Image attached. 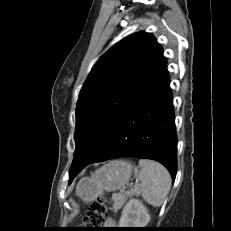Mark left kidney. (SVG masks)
I'll list each match as a JSON object with an SVG mask.
<instances>
[{
	"instance_id": "5707ae66",
	"label": "left kidney",
	"mask_w": 231,
	"mask_h": 231,
	"mask_svg": "<svg viewBox=\"0 0 231 231\" xmlns=\"http://www.w3.org/2000/svg\"><path fill=\"white\" fill-rule=\"evenodd\" d=\"M150 221L147 208L138 199H130L122 210L120 228H144Z\"/></svg>"
}]
</instances>
